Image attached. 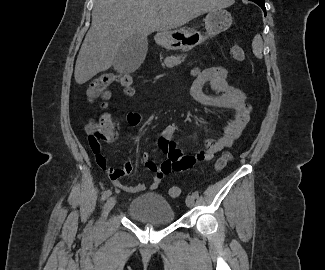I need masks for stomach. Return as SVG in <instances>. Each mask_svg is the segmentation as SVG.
<instances>
[{
  "instance_id": "1",
  "label": "stomach",
  "mask_w": 325,
  "mask_h": 270,
  "mask_svg": "<svg viewBox=\"0 0 325 270\" xmlns=\"http://www.w3.org/2000/svg\"><path fill=\"white\" fill-rule=\"evenodd\" d=\"M204 21L205 35L194 30H188L179 33L162 34L159 41L162 46L169 49H191L203 43L207 38L214 37L227 30L232 24V16L224 9H216L209 11Z\"/></svg>"
}]
</instances>
